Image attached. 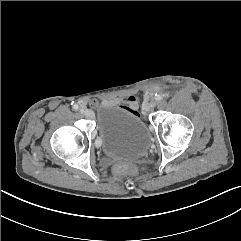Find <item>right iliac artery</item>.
Returning a JSON list of instances; mask_svg holds the SVG:
<instances>
[{"mask_svg":"<svg viewBox=\"0 0 241 241\" xmlns=\"http://www.w3.org/2000/svg\"><path fill=\"white\" fill-rule=\"evenodd\" d=\"M73 109L77 111L79 109V106L77 104L73 105Z\"/></svg>","mask_w":241,"mask_h":241,"instance_id":"right-iliac-artery-1","label":"right iliac artery"}]
</instances>
